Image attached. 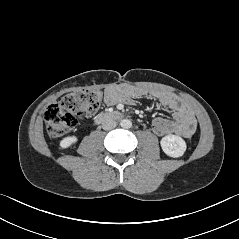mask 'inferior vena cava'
<instances>
[{"mask_svg": "<svg viewBox=\"0 0 239 239\" xmlns=\"http://www.w3.org/2000/svg\"><path fill=\"white\" fill-rule=\"evenodd\" d=\"M117 126V123L115 120L111 119V118H106L103 122H102V128L106 131L108 130H112Z\"/></svg>", "mask_w": 239, "mask_h": 239, "instance_id": "obj_1", "label": "inferior vena cava"}]
</instances>
